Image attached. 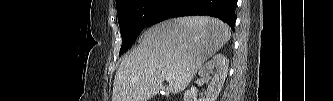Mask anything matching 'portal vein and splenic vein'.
I'll return each instance as SVG.
<instances>
[{"mask_svg": "<svg viewBox=\"0 0 333 101\" xmlns=\"http://www.w3.org/2000/svg\"><path fill=\"white\" fill-rule=\"evenodd\" d=\"M164 79H165L166 81H169V80L172 79V76H171V75H166V76L164 77Z\"/></svg>", "mask_w": 333, "mask_h": 101, "instance_id": "1", "label": "portal vein and splenic vein"}]
</instances>
